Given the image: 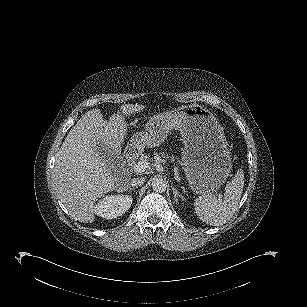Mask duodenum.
<instances>
[{
  "mask_svg": "<svg viewBox=\"0 0 307 307\" xmlns=\"http://www.w3.org/2000/svg\"><path fill=\"white\" fill-rule=\"evenodd\" d=\"M132 156V152H130V154H129V157H131Z\"/></svg>",
  "mask_w": 307,
  "mask_h": 307,
  "instance_id": "obj_1",
  "label": "duodenum"
}]
</instances>
